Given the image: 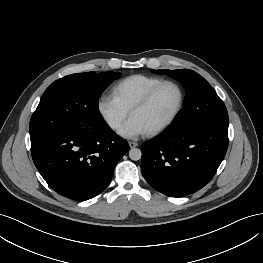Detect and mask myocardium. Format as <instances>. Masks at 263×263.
<instances>
[{
  "label": "myocardium",
  "instance_id": "obj_1",
  "mask_svg": "<svg viewBox=\"0 0 263 263\" xmlns=\"http://www.w3.org/2000/svg\"><path fill=\"white\" fill-rule=\"evenodd\" d=\"M173 85L174 87L177 88L178 92H179V101L177 104L176 109L174 110V112L172 113V115L163 123H161L160 125L156 126L155 128L151 129L150 131L147 132L148 135L153 136L156 135L162 131H164L165 129H167L169 126H171L175 120L178 118V116L180 115L184 104H185V98H186V93L185 90L183 88V86L176 80L173 79H164L160 82H158L157 84H155L152 88H150L144 95L143 97L137 101L132 108L130 109V115L132 116V114L137 111L140 110L142 108H144L150 101L151 99L154 97V95L156 94V92L164 85Z\"/></svg>",
  "mask_w": 263,
  "mask_h": 263
}]
</instances>
